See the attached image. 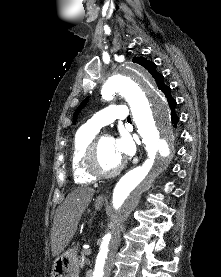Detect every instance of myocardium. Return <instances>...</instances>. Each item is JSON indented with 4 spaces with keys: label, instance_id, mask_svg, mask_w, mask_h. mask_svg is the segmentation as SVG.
<instances>
[{
    "label": "myocardium",
    "instance_id": "obj_1",
    "mask_svg": "<svg viewBox=\"0 0 221 277\" xmlns=\"http://www.w3.org/2000/svg\"><path fill=\"white\" fill-rule=\"evenodd\" d=\"M103 138H109L108 135H102L95 137L91 144L89 145L87 152L85 154L84 158V169L86 173L91 176L93 179H107L112 178L116 175H118L122 169L124 168V162H120V164L113 169L112 171L103 172L98 168L97 165V156H98V148L100 141Z\"/></svg>",
    "mask_w": 221,
    "mask_h": 277
}]
</instances>
